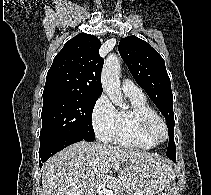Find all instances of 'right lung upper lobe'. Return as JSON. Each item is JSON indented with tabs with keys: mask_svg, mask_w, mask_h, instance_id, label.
<instances>
[{
	"mask_svg": "<svg viewBox=\"0 0 211 195\" xmlns=\"http://www.w3.org/2000/svg\"><path fill=\"white\" fill-rule=\"evenodd\" d=\"M101 42L89 34H78L64 45L53 60L43 93L68 92L90 97L102 93L99 55Z\"/></svg>",
	"mask_w": 211,
	"mask_h": 195,
	"instance_id": "obj_1",
	"label": "right lung upper lobe"
}]
</instances>
